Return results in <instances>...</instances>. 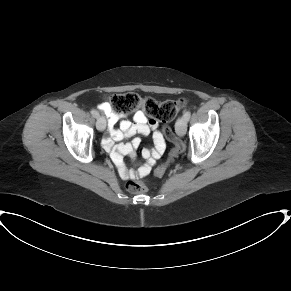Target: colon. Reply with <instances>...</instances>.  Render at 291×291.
Instances as JSON below:
<instances>
[{
	"label": "colon",
	"mask_w": 291,
	"mask_h": 291,
	"mask_svg": "<svg viewBox=\"0 0 291 291\" xmlns=\"http://www.w3.org/2000/svg\"><path fill=\"white\" fill-rule=\"evenodd\" d=\"M109 103L114 110L124 112L140 109L153 119L167 123L176 116L181 108L186 106L187 101L186 99H179L176 101L166 100L163 102H158L152 97L141 98L134 92H125L112 95L109 98ZM163 133L168 140H176L175 133L168 125L163 127ZM167 170L168 166L166 164H161L155 169V174L164 175ZM126 189L130 193L139 194L146 192L148 187L144 179H139L129 181L126 184Z\"/></svg>",
	"instance_id": "5ec220e1"
}]
</instances>
